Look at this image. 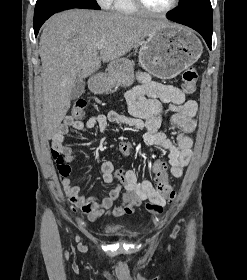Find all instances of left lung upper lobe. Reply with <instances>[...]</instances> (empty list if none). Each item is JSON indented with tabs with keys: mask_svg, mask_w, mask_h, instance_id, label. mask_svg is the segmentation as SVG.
<instances>
[{
	"mask_svg": "<svg viewBox=\"0 0 247 280\" xmlns=\"http://www.w3.org/2000/svg\"><path fill=\"white\" fill-rule=\"evenodd\" d=\"M172 14L179 18L212 20V7L210 0H182Z\"/></svg>",
	"mask_w": 247,
	"mask_h": 280,
	"instance_id": "left-lung-upper-lobe-1",
	"label": "left lung upper lobe"
}]
</instances>
